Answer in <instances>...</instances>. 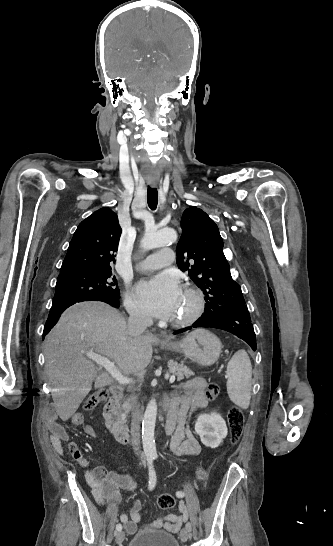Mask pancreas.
<instances>
[{
  "mask_svg": "<svg viewBox=\"0 0 333 546\" xmlns=\"http://www.w3.org/2000/svg\"><path fill=\"white\" fill-rule=\"evenodd\" d=\"M169 373L177 376V380L181 381L185 377L189 378L190 376L194 375V372L191 371L187 366L183 364H178L177 362L170 361L168 363ZM132 404L130 403V399L126 400L123 403V408L125 410V414H128L131 410Z\"/></svg>",
  "mask_w": 333,
  "mask_h": 546,
  "instance_id": "cf45deb5",
  "label": "pancreas"
}]
</instances>
